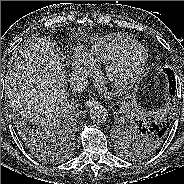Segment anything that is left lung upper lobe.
Returning <instances> with one entry per match:
<instances>
[{
    "label": "left lung upper lobe",
    "mask_w": 184,
    "mask_h": 184,
    "mask_svg": "<svg viewBox=\"0 0 184 184\" xmlns=\"http://www.w3.org/2000/svg\"><path fill=\"white\" fill-rule=\"evenodd\" d=\"M131 142L128 141L127 152L132 155H148L159 148L164 141L165 137H160L148 130L147 121L145 119H137L131 123Z\"/></svg>",
    "instance_id": "obj_1"
}]
</instances>
